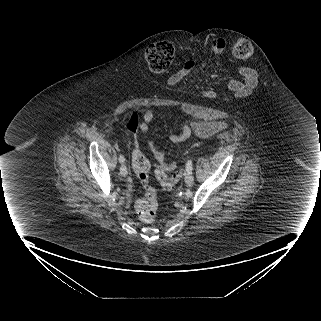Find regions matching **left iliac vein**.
<instances>
[{
    "label": "left iliac vein",
    "mask_w": 321,
    "mask_h": 321,
    "mask_svg": "<svg viewBox=\"0 0 321 321\" xmlns=\"http://www.w3.org/2000/svg\"><path fill=\"white\" fill-rule=\"evenodd\" d=\"M193 181H194V177H193L192 172L187 171L185 174V183L187 185H191L193 183Z\"/></svg>",
    "instance_id": "obj_1"
}]
</instances>
